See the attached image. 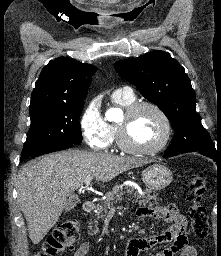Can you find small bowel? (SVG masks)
<instances>
[{
    "label": "small bowel",
    "mask_w": 221,
    "mask_h": 256,
    "mask_svg": "<svg viewBox=\"0 0 221 256\" xmlns=\"http://www.w3.org/2000/svg\"><path fill=\"white\" fill-rule=\"evenodd\" d=\"M139 217L163 219L172 225L165 231L129 241L126 256H138L140 252L149 250L157 245L169 243L166 249L154 256H197L195 248L189 243L186 233L187 220L180 214L174 204L160 207H141L137 210ZM91 249L89 242L82 243L73 256H86Z\"/></svg>",
    "instance_id": "c3829d8e"
}]
</instances>
